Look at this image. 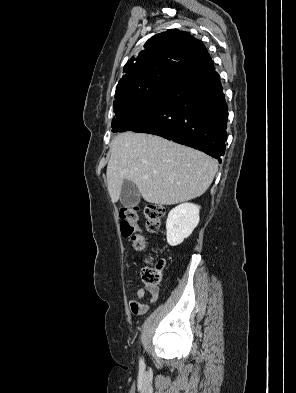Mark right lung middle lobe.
<instances>
[{"mask_svg": "<svg viewBox=\"0 0 296 393\" xmlns=\"http://www.w3.org/2000/svg\"><path fill=\"white\" fill-rule=\"evenodd\" d=\"M172 77H156L149 80L143 90L130 100L113 104L116 118L112 119V131L121 132L125 125L142 113L156 98L159 91L171 81Z\"/></svg>", "mask_w": 296, "mask_h": 393, "instance_id": "dd1d6c3e", "label": "right lung middle lobe"}]
</instances>
